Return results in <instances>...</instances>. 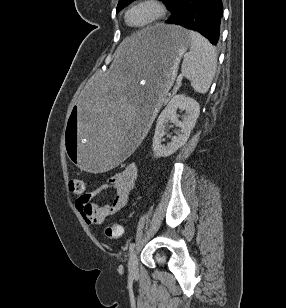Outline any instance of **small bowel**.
Masks as SVG:
<instances>
[{
    "label": "small bowel",
    "mask_w": 286,
    "mask_h": 308,
    "mask_svg": "<svg viewBox=\"0 0 286 308\" xmlns=\"http://www.w3.org/2000/svg\"><path fill=\"white\" fill-rule=\"evenodd\" d=\"M138 178V166L129 163L124 169L108 178L103 184L92 191L83 189L80 192H72L75 206L85 223L89 226L103 224L108 218L122 210L129 201L130 192ZM115 189L113 199L104 205H98L92 200L106 189Z\"/></svg>",
    "instance_id": "1"
}]
</instances>
